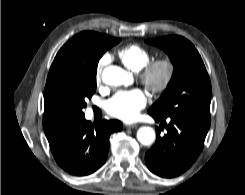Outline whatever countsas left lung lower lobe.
I'll list each match as a JSON object with an SVG mask.
<instances>
[{
  "label": "left lung lower lobe",
  "instance_id": "1",
  "mask_svg": "<svg viewBox=\"0 0 245 195\" xmlns=\"http://www.w3.org/2000/svg\"><path fill=\"white\" fill-rule=\"evenodd\" d=\"M149 114L166 126L167 134L161 137L156 128V142L145 155L147 167L160 177H176L185 172L202 151L210 120L175 115L162 118Z\"/></svg>",
  "mask_w": 245,
  "mask_h": 195
}]
</instances>
